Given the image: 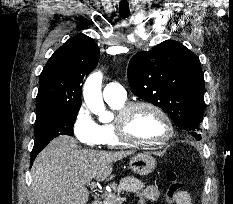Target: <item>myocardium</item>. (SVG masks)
<instances>
[{
    "instance_id": "myocardium-1",
    "label": "myocardium",
    "mask_w": 233,
    "mask_h": 204,
    "mask_svg": "<svg viewBox=\"0 0 233 204\" xmlns=\"http://www.w3.org/2000/svg\"><path fill=\"white\" fill-rule=\"evenodd\" d=\"M140 108H147L154 111L158 114L166 124L167 127V134L159 140L151 141V140H140L132 137L128 131L130 119L133 113ZM115 129L118 138L126 145H133V146H159L169 142L172 137L174 136V125L169 117V115L158 105L148 102V101H135L126 104L121 110L117 113L115 119Z\"/></svg>"
}]
</instances>
